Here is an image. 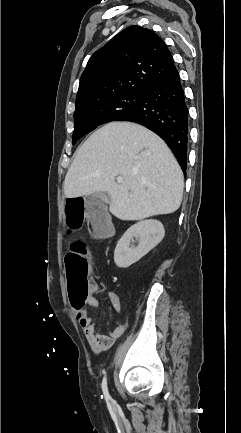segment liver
Here are the masks:
<instances>
[{"mask_svg": "<svg viewBox=\"0 0 241 433\" xmlns=\"http://www.w3.org/2000/svg\"><path fill=\"white\" fill-rule=\"evenodd\" d=\"M183 189L182 170L166 143L130 122H111L96 130L77 149L63 183L67 198L107 192L109 210L120 220L173 213Z\"/></svg>", "mask_w": 241, "mask_h": 433, "instance_id": "obj_1", "label": "liver"}]
</instances>
